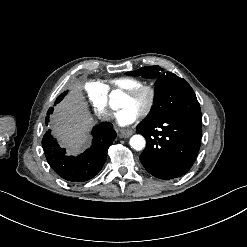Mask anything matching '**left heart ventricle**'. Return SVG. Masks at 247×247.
<instances>
[{
  "label": "left heart ventricle",
  "instance_id": "obj_1",
  "mask_svg": "<svg viewBox=\"0 0 247 247\" xmlns=\"http://www.w3.org/2000/svg\"><path fill=\"white\" fill-rule=\"evenodd\" d=\"M125 105H136L143 109L146 105V96L142 95L140 98L136 100H132L129 97L126 99Z\"/></svg>",
  "mask_w": 247,
  "mask_h": 247
}]
</instances>
